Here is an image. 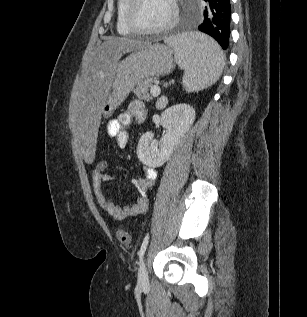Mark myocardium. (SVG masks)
<instances>
[{
  "mask_svg": "<svg viewBox=\"0 0 307 317\" xmlns=\"http://www.w3.org/2000/svg\"><path fill=\"white\" fill-rule=\"evenodd\" d=\"M138 3H139V0H128L126 9H125L126 24L133 33L140 34V35H159V34L168 32L177 24L179 19V8H178L177 0H170L171 6H172V15L170 19L168 20V22H166L164 25L160 27L153 28V29L141 28L135 22L133 13Z\"/></svg>",
  "mask_w": 307,
  "mask_h": 317,
  "instance_id": "obj_1",
  "label": "myocardium"
}]
</instances>
